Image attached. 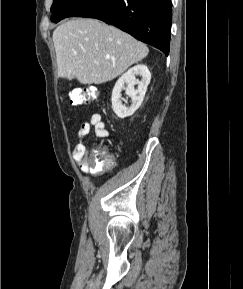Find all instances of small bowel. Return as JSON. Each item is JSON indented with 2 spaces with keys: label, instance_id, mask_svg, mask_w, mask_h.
I'll use <instances>...</instances> for the list:
<instances>
[{
  "label": "small bowel",
  "instance_id": "obj_1",
  "mask_svg": "<svg viewBox=\"0 0 243 289\" xmlns=\"http://www.w3.org/2000/svg\"><path fill=\"white\" fill-rule=\"evenodd\" d=\"M92 129L94 130L96 137L99 139H107L110 137V132L107 130L102 116L99 113L92 114L89 121L83 122L79 126L76 134L78 144L73 150V157L79 165L81 171L85 174H88L92 168H90L87 162L88 148L84 143V139L88 136Z\"/></svg>",
  "mask_w": 243,
  "mask_h": 289
}]
</instances>
